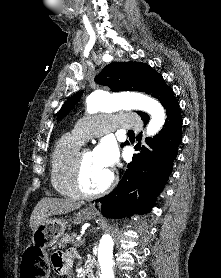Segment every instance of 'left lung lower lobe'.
I'll return each instance as SVG.
<instances>
[{
	"mask_svg": "<svg viewBox=\"0 0 221 278\" xmlns=\"http://www.w3.org/2000/svg\"><path fill=\"white\" fill-rule=\"evenodd\" d=\"M163 129L146 138L147 146L138 143L124 177L108 195L97 199L102 203L101 212L108 218H123L128 214H144L154 206L156 197L162 192L172 171V164L182 140V118L177 99L166 109ZM144 125L149 119H145Z\"/></svg>",
	"mask_w": 221,
	"mask_h": 278,
	"instance_id": "obj_1",
	"label": "left lung lower lobe"
}]
</instances>
